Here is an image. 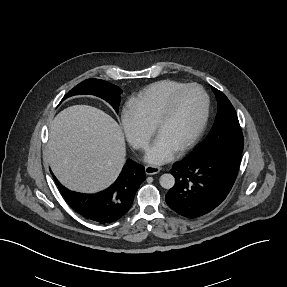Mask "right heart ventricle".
<instances>
[{
  "mask_svg": "<svg viewBox=\"0 0 287 287\" xmlns=\"http://www.w3.org/2000/svg\"><path fill=\"white\" fill-rule=\"evenodd\" d=\"M183 85L185 84L170 79L155 82L131 98L127 107L152 129L168 97Z\"/></svg>",
  "mask_w": 287,
  "mask_h": 287,
  "instance_id": "e07e8e85",
  "label": "right heart ventricle"
}]
</instances>
